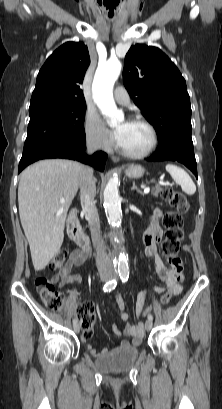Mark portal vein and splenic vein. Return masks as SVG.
Listing matches in <instances>:
<instances>
[{
	"label": "portal vein and splenic vein",
	"mask_w": 222,
	"mask_h": 409,
	"mask_svg": "<svg viewBox=\"0 0 222 409\" xmlns=\"http://www.w3.org/2000/svg\"><path fill=\"white\" fill-rule=\"evenodd\" d=\"M159 184L162 185V184H164V183H163V181H160ZM149 192H150V188H149V187L144 188V193H145V194H148ZM61 202L63 203L64 200H62Z\"/></svg>",
	"instance_id": "portal-vein-and-splenic-vein-1"
}]
</instances>
